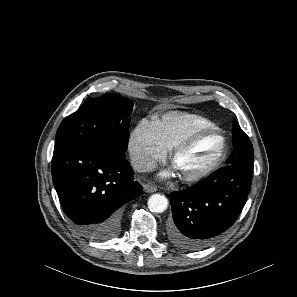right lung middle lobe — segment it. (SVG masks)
Returning a JSON list of instances; mask_svg holds the SVG:
<instances>
[{
  "label": "right lung middle lobe",
  "instance_id": "right-lung-middle-lobe-1",
  "mask_svg": "<svg viewBox=\"0 0 297 297\" xmlns=\"http://www.w3.org/2000/svg\"><path fill=\"white\" fill-rule=\"evenodd\" d=\"M133 102L118 94L89 98L60 124L55 145L99 142L125 152Z\"/></svg>",
  "mask_w": 297,
  "mask_h": 297
}]
</instances>
